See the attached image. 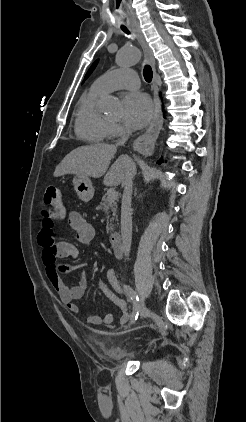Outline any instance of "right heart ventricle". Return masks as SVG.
Masks as SVG:
<instances>
[{
    "label": "right heart ventricle",
    "instance_id": "e07e8e85",
    "mask_svg": "<svg viewBox=\"0 0 246 422\" xmlns=\"http://www.w3.org/2000/svg\"><path fill=\"white\" fill-rule=\"evenodd\" d=\"M103 95V92L92 86L81 96L74 123L75 133L79 138L93 143H99L108 138L109 122L97 111L98 101Z\"/></svg>",
    "mask_w": 246,
    "mask_h": 422
}]
</instances>
